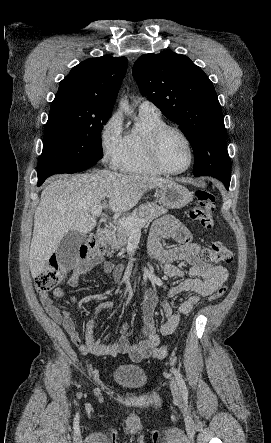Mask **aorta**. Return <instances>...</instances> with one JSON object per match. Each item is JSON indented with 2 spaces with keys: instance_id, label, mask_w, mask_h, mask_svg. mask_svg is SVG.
<instances>
[{
  "instance_id": "762f6f07",
  "label": "aorta",
  "mask_w": 271,
  "mask_h": 443,
  "mask_svg": "<svg viewBox=\"0 0 271 443\" xmlns=\"http://www.w3.org/2000/svg\"><path fill=\"white\" fill-rule=\"evenodd\" d=\"M119 106H120V108H122V110H124L126 116H129V114H132V112L130 110L129 102H128V100H126V98H124V100H121Z\"/></svg>"
}]
</instances>
